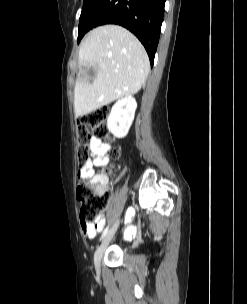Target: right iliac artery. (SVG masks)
<instances>
[{
	"instance_id": "right-iliac-artery-1",
	"label": "right iliac artery",
	"mask_w": 247,
	"mask_h": 304,
	"mask_svg": "<svg viewBox=\"0 0 247 304\" xmlns=\"http://www.w3.org/2000/svg\"><path fill=\"white\" fill-rule=\"evenodd\" d=\"M108 230H109V226H107V227L105 228V230L103 231L100 240H102V239L106 236V234L108 233Z\"/></svg>"
}]
</instances>
